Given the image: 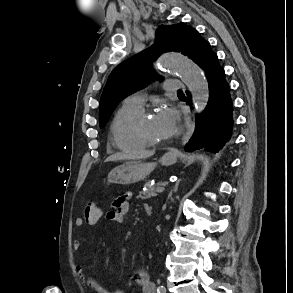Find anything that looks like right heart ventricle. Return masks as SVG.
<instances>
[{"label":"right heart ventricle","instance_id":"1","mask_svg":"<svg viewBox=\"0 0 293 293\" xmlns=\"http://www.w3.org/2000/svg\"><path fill=\"white\" fill-rule=\"evenodd\" d=\"M142 111V108L125 103L118 109L110 126V142L113 147L130 153L147 147L135 130L136 119Z\"/></svg>","mask_w":293,"mask_h":293}]
</instances>
